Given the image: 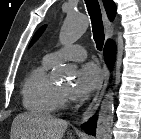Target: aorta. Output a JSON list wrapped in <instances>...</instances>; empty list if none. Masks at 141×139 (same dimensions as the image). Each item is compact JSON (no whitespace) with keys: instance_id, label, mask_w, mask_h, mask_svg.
Masks as SVG:
<instances>
[{"instance_id":"1","label":"aorta","mask_w":141,"mask_h":139,"mask_svg":"<svg viewBox=\"0 0 141 139\" xmlns=\"http://www.w3.org/2000/svg\"><path fill=\"white\" fill-rule=\"evenodd\" d=\"M87 18L77 12L69 13L61 27L59 40L64 45L73 44L87 30ZM63 75L71 76L70 70H63ZM114 119V97L111 90L102 100L96 128V139H112V126Z\"/></svg>"}]
</instances>
